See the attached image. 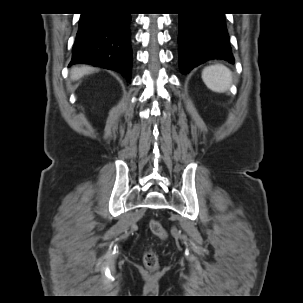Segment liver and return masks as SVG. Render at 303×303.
<instances>
[{
	"mask_svg": "<svg viewBox=\"0 0 303 303\" xmlns=\"http://www.w3.org/2000/svg\"><path fill=\"white\" fill-rule=\"evenodd\" d=\"M92 71H94V69L92 67H89V66L74 67L71 70L70 74H71V78L73 80H78L82 76H84L85 74H88V73H90Z\"/></svg>",
	"mask_w": 303,
	"mask_h": 303,
	"instance_id": "6515ba94",
	"label": "liver"
}]
</instances>
